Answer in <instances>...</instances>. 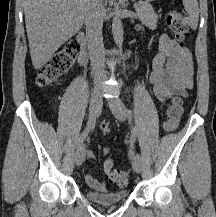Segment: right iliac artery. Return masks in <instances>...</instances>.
Returning a JSON list of instances; mask_svg holds the SVG:
<instances>
[{
  "instance_id": "1",
  "label": "right iliac artery",
  "mask_w": 216,
  "mask_h": 217,
  "mask_svg": "<svg viewBox=\"0 0 216 217\" xmlns=\"http://www.w3.org/2000/svg\"><path fill=\"white\" fill-rule=\"evenodd\" d=\"M95 123H96L95 116L94 115H90L89 116L88 124H87L86 128L84 129V131L82 132V134L80 135L78 141H77L78 147L84 142V140L86 139V137L88 136V134L90 133V131L92 129H94Z\"/></svg>"
}]
</instances>
